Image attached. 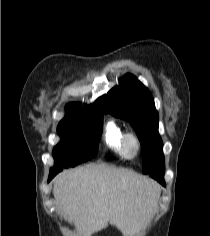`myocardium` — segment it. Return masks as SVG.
<instances>
[{
	"label": "myocardium",
	"instance_id": "1",
	"mask_svg": "<svg viewBox=\"0 0 210 236\" xmlns=\"http://www.w3.org/2000/svg\"><path fill=\"white\" fill-rule=\"evenodd\" d=\"M133 151H130V147ZM122 150L127 159H134L138 156L141 150V143L138 136L133 132H126L122 139Z\"/></svg>",
	"mask_w": 210,
	"mask_h": 236
}]
</instances>
